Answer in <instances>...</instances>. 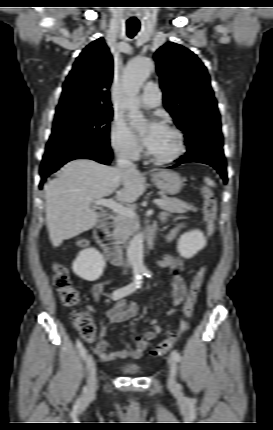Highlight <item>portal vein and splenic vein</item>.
<instances>
[{
  "label": "portal vein and splenic vein",
  "mask_w": 273,
  "mask_h": 430,
  "mask_svg": "<svg viewBox=\"0 0 273 430\" xmlns=\"http://www.w3.org/2000/svg\"><path fill=\"white\" fill-rule=\"evenodd\" d=\"M90 202L94 203L96 206H105L107 208H110L114 212L123 216H135V210L133 208H126L122 204L117 203L112 199L90 200ZM154 203L160 206L164 205L166 202L163 199H155Z\"/></svg>",
  "instance_id": "18ae733b"
}]
</instances>
